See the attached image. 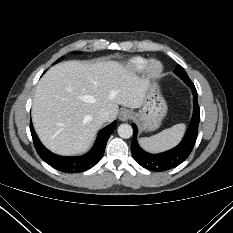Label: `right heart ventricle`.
Returning a JSON list of instances; mask_svg holds the SVG:
<instances>
[{
	"mask_svg": "<svg viewBox=\"0 0 233 233\" xmlns=\"http://www.w3.org/2000/svg\"><path fill=\"white\" fill-rule=\"evenodd\" d=\"M147 64V59L143 57H133L127 62V69L131 72L137 73L144 70Z\"/></svg>",
	"mask_w": 233,
	"mask_h": 233,
	"instance_id": "obj_1",
	"label": "right heart ventricle"
}]
</instances>
